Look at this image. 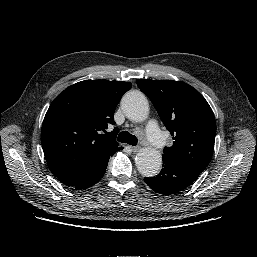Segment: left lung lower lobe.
<instances>
[{
	"mask_svg": "<svg viewBox=\"0 0 257 257\" xmlns=\"http://www.w3.org/2000/svg\"><path fill=\"white\" fill-rule=\"evenodd\" d=\"M199 174L184 164L163 157L160 173L155 177H145L144 181L155 192L170 195L190 186Z\"/></svg>",
	"mask_w": 257,
	"mask_h": 257,
	"instance_id": "1",
	"label": "left lung lower lobe"
}]
</instances>
